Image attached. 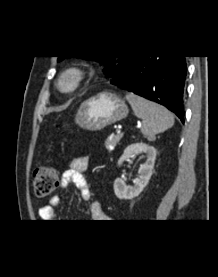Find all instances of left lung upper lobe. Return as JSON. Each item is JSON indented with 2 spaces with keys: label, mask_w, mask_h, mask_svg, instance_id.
I'll return each mask as SVG.
<instances>
[{
  "label": "left lung upper lobe",
  "mask_w": 218,
  "mask_h": 277,
  "mask_svg": "<svg viewBox=\"0 0 218 277\" xmlns=\"http://www.w3.org/2000/svg\"><path fill=\"white\" fill-rule=\"evenodd\" d=\"M89 60H95L101 62L105 66L104 74L112 78L114 75L122 72L127 64L133 58L132 55H123V56H82ZM64 56H59L58 61L63 60Z\"/></svg>",
  "instance_id": "1"
}]
</instances>
